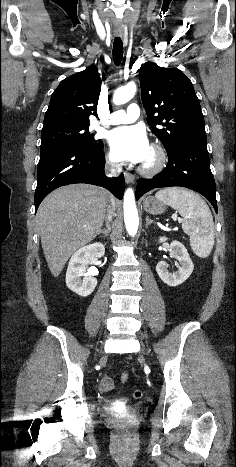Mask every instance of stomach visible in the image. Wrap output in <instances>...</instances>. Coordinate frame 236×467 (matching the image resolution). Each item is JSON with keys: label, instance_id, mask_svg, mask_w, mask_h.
Here are the masks:
<instances>
[{"label": "stomach", "instance_id": "obj_1", "mask_svg": "<svg viewBox=\"0 0 236 467\" xmlns=\"http://www.w3.org/2000/svg\"><path fill=\"white\" fill-rule=\"evenodd\" d=\"M144 209L147 213L159 215L165 212L166 205L155 197L149 196L143 201Z\"/></svg>", "mask_w": 236, "mask_h": 467}]
</instances>
